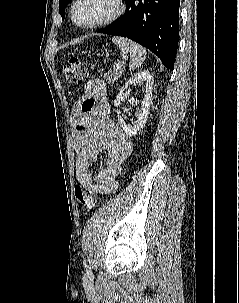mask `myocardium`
Segmentation results:
<instances>
[{"label": "myocardium", "instance_id": "f54148a6", "mask_svg": "<svg viewBox=\"0 0 239 303\" xmlns=\"http://www.w3.org/2000/svg\"><path fill=\"white\" fill-rule=\"evenodd\" d=\"M80 0H74L72 5H71V10H70V15H71V20L72 22L83 29H93L96 27H101V26H105V25H109L113 22H115L116 20H118L124 13L126 10V4L124 0H114L115 4H116V9L115 11L110 14L109 16L97 20L95 22L89 23V24H80L77 20H76V7L77 4L79 3Z\"/></svg>", "mask_w": 239, "mask_h": 303}]
</instances>
